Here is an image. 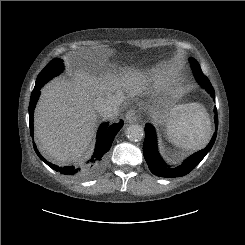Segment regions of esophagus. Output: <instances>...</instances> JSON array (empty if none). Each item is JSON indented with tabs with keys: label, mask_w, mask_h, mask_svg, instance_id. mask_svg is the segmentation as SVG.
I'll return each mask as SVG.
<instances>
[{
	"label": "esophagus",
	"mask_w": 245,
	"mask_h": 245,
	"mask_svg": "<svg viewBox=\"0 0 245 245\" xmlns=\"http://www.w3.org/2000/svg\"><path fill=\"white\" fill-rule=\"evenodd\" d=\"M139 119V114L134 108H131L128 110V112L125 115V120L127 123H135Z\"/></svg>",
	"instance_id": "1"
}]
</instances>
